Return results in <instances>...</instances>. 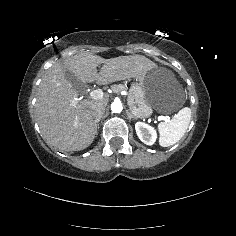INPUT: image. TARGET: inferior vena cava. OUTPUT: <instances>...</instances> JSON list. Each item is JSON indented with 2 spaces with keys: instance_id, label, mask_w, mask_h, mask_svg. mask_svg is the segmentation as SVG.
<instances>
[{
  "instance_id": "obj_1",
  "label": "inferior vena cava",
  "mask_w": 236,
  "mask_h": 236,
  "mask_svg": "<svg viewBox=\"0 0 236 236\" xmlns=\"http://www.w3.org/2000/svg\"><path fill=\"white\" fill-rule=\"evenodd\" d=\"M105 112V106L102 104H95L92 107V116L95 118L94 121H98V118Z\"/></svg>"
}]
</instances>
